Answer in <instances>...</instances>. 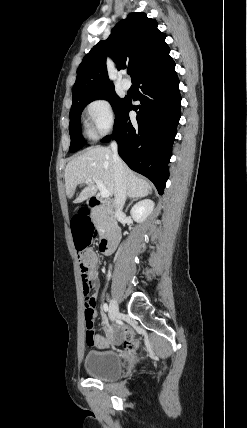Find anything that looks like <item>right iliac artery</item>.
<instances>
[{"instance_id":"1","label":"right iliac artery","mask_w":247,"mask_h":428,"mask_svg":"<svg viewBox=\"0 0 247 428\" xmlns=\"http://www.w3.org/2000/svg\"><path fill=\"white\" fill-rule=\"evenodd\" d=\"M103 309H104L105 312H107L109 310V307H108V305L106 303L103 305Z\"/></svg>"}]
</instances>
